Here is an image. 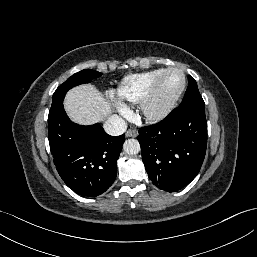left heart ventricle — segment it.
Wrapping results in <instances>:
<instances>
[{
  "instance_id": "obj_1",
  "label": "left heart ventricle",
  "mask_w": 257,
  "mask_h": 257,
  "mask_svg": "<svg viewBox=\"0 0 257 257\" xmlns=\"http://www.w3.org/2000/svg\"><path fill=\"white\" fill-rule=\"evenodd\" d=\"M182 75L179 72L169 73L163 80L159 99L166 101L172 98L180 90L182 85Z\"/></svg>"
}]
</instances>
